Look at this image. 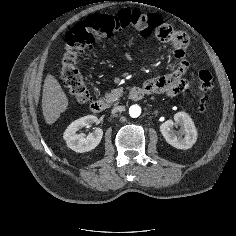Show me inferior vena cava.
<instances>
[{
  "label": "inferior vena cava",
  "mask_w": 236,
  "mask_h": 236,
  "mask_svg": "<svg viewBox=\"0 0 236 236\" xmlns=\"http://www.w3.org/2000/svg\"><path fill=\"white\" fill-rule=\"evenodd\" d=\"M125 111V107L124 106H116L112 109V113H117V112H122Z\"/></svg>",
  "instance_id": "obj_1"
}]
</instances>
